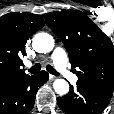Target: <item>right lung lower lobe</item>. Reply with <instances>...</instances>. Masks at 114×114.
<instances>
[{
	"mask_svg": "<svg viewBox=\"0 0 114 114\" xmlns=\"http://www.w3.org/2000/svg\"><path fill=\"white\" fill-rule=\"evenodd\" d=\"M49 79L46 71L25 75L0 86V114H27L35 103L38 87Z\"/></svg>",
	"mask_w": 114,
	"mask_h": 114,
	"instance_id": "obj_1",
	"label": "right lung lower lobe"
}]
</instances>
